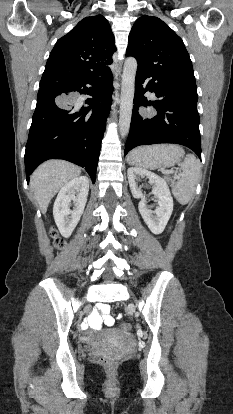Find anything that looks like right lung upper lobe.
Masks as SVG:
<instances>
[{"label":"right lung upper lobe","mask_w":233,"mask_h":414,"mask_svg":"<svg viewBox=\"0 0 233 414\" xmlns=\"http://www.w3.org/2000/svg\"><path fill=\"white\" fill-rule=\"evenodd\" d=\"M116 51L114 35L102 15L82 19L55 44L41 82L77 81L110 71Z\"/></svg>","instance_id":"right-lung-upper-lobe-1"}]
</instances>
